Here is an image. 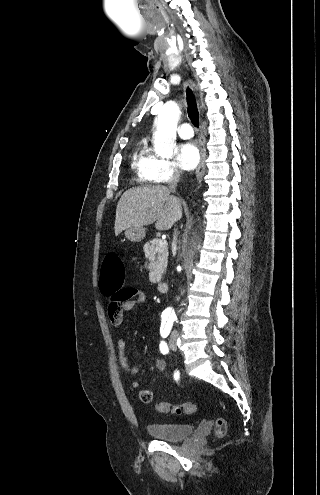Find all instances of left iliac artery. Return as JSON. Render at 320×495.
<instances>
[{"instance_id":"left-iliac-artery-1","label":"left iliac artery","mask_w":320,"mask_h":495,"mask_svg":"<svg viewBox=\"0 0 320 495\" xmlns=\"http://www.w3.org/2000/svg\"><path fill=\"white\" fill-rule=\"evenodd\" d=\"M172 323L173 321L172 320H167V321H163L162 324H161V328H160V334L163 338H166L170 331H171V328H172ZM160 351L161 353L163 354H167L168 353V346L166 344L165 341H161L160 343Z\"/></svg>"}]
</instances>
